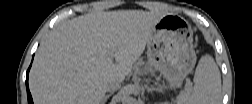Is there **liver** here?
Instances as JSON below:
<instances>
[{"label":"liver","instance_id":"obj_1","mask_svg":"<svg viewBox=\"0 0 252 104\" xmlns=\"http://www.w3.org/2000/svg\"><path fill=\"white\" fill-rule=\"evenodd\" d=\"M160 12L98 11L61 23L39 47L29 75L37 104H100L145 50ZM114 60L116 63H114Z\"/></svg>","mask_w":252,"mask_h":104}]
</instances>
